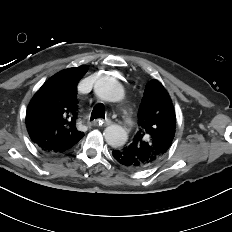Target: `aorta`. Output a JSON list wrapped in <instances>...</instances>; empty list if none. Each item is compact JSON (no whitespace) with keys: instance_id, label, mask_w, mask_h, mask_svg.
Listing matches in <instances>:
<instances>
[{"instance_id":"762f6f07","label":"aorta","mask_w":232,"mask_h":232,"mask_svg":"<svg viewBox=\"0 0 232 232\" xmlns=\"http://www.w3.org/2000/svg\"><path fill=\"white\" fill-rule=\"evenodd\" d=\"M95 94L107 102H119L124 98V89L122 85L113 77H102L94 85ZM106 142L112 147L123 146L128 134L126 130L119 125H110L104 130Z\"/></svg>"}]
</instances>
